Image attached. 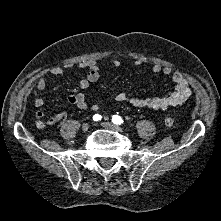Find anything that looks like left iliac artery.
<instances>
[{"instance_id":"left-iliac-artery-1","label":"left iliac artery","mask_w":221,"mask_h":221,"mask_svg":"<svg viewBox=\"0 0 221 221\" xmlns=\"http://www.w3.org/2000/svg\"><path fill=\"white\" fill-rule=\"evenodd\" d=\"M112 122L114 123V124H121V123H123V120H122V118L120 117V116H118V115H113V117H112Z\"/></svg>"}]
</instances>
